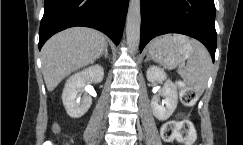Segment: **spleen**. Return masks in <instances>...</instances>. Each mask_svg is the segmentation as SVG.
I'll use <instances>...</instances> for the list:
<instances>
[{"label":"spleen","instance_id":"spleen-1","mask_svg":"<svg viewBox=\"0 0 243 145\" xmlns=\"http://www.w3.org/2000/svg\"><path fill=\"white\" fill-rule=\"evenodd\" d=\"M192 55L187 59L186 67L178 69L183 81L200 96L207 85L210 75L211 58L207 49L197 41H191Z\"/></svg>","mask_w":243,"mask_h":145}]
</instances>
